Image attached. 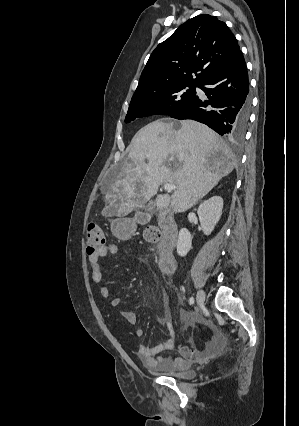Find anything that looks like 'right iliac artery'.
Segmentation results:
<instances>
[{"label":"right iliac artery","instance_id":"82829eb1","mask_svg":"<svg viewBox=\"0 0 299 426\" xmlns=\"http://www.w3.org/2000/svg\"><path fill=\"white\" fill-rule=\"evenodd\" d=\"M189 304H190V305H193V304H194V298H193V297H191V298L189 299Z\"/></svg>","mask_w":299,"mask_h":426}]
</instances>
